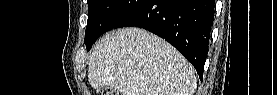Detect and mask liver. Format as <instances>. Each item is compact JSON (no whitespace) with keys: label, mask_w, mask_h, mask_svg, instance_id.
Listing matches in <instances>:
<instances>
[{"label":"liver","mask_w":277,"mask_h":95,"mask_svg":"<svg viewBox=\"0 0 277 95\" xmlns=\"http://www.w3.org/2000/svg\"><path fill=\"white\" fill-rule=\"evenodd\" d=\"M88 80L122 95H193L194 67L173 46L146 30L128 27L106 34L88 62Z\"/></svg>","instance_id":"liver-1"}]
</instances>
